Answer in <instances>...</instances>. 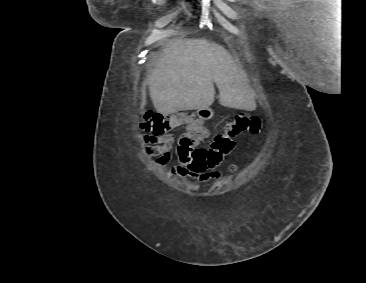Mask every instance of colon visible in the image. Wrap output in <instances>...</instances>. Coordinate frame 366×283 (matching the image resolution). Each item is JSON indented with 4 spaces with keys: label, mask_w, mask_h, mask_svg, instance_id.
<instances>
[{
    "label": "colon",
    "mask_w": 366,
    "mask_h": 283,
    "mask_svg": "<svg viewBox=\"0 0 366 283\" xmlns=\"http://www.w3.org/2000/svg\"><path fill=\"white\" fill-rule=\"evenodd\" d=\"M180 126H186L187 132L180 136L175 146V155L181 166L194 172H202L216 166L221 161L219 156L221 153L228 154L233 151L235 137L243 133H260L262 122L258 116L237 114L225 121L222 132L214 136L208 148H200L198 143L208 136V131L193 115L185 113L162 115L146 110L140 119V128L156 136L166 134Z\"/></svg>",
    "instance_id": "5ec220e1"
}]
</instances>
